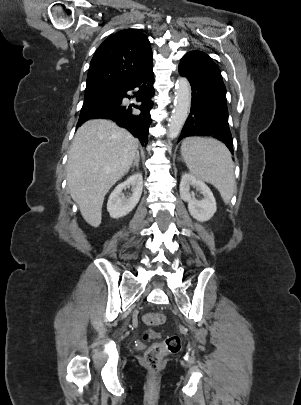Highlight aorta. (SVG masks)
Returning <instances> with one entry per match:
<instances>
[{
    "instance_id": "aorta-1",
    "label": "aorta",
    "mask_w": 301,
    "mask_h": 405,
    "mask_svg": "<svg viewBox=\"0 0 301 405\" xmlns=\"http://www.w3.org/2000/svg\"><path fill=\"white\" fill-rule=\"evenodd\" d=\"M191 104V88L187 78L179 77L175 86V101L171 118L168 124V138L170 140L175 139L190 111Z\"/></svg>"
}]
</instances>
